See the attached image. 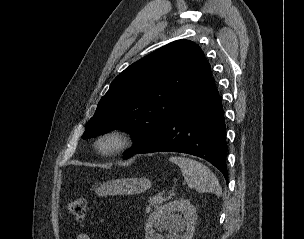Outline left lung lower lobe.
Returning a JSON list of instances; mask_svg holds the SVG:
<instances>
[{
    "label": "left lung lower lobe",
    "instance_id": "left-lung-lower-lobe-1",
    "mask_svg": "<svg viewBox=\"0 0 304 239\" xmlns=\"http://www.w3.org/2000/svg\"><path fill=\"white\" fill-rule=\"evenodd\" d=\"M227 149L223 107L211 76L204 87L147 144L124 156V159L140 153H187L212 163L227 182Z\"/></svg>",
    "mask_w": 304,
    "mask_h": 239
}]
</instances>
